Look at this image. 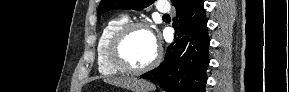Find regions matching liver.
Returning <instances> with one entry per match:
<instances>
[{"mask_svg":"<svg viewBox=\"0 0 289 92\" xmlns=\"http://www.w3.org/2000/svg\"><path fill=\"white\" fill-rule=\"evenodd\" d=\"M105 82L112 85L124 87L134 92H143L154 89V87L147 81L136 78H107L105 79Z\"/></svg>","mask_w":289,"mask_h":92,"instance_id":"1","label":"liver"}]
</instances>
